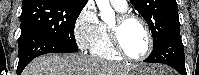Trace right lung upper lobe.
I'll use <instances>...</instances> for the list:
<instances>
[{
	"mask_svg": "<svg viewBox=\"0 0 199 75\" xmlns=\"http://www.w3.org/2000/svg\"><path fill=\"white\" fill-rule=\"evenodd\" d=\"M55 1L71 4V5H86L88 0H23V4H38L43 5Z\"/></svg>",
	"mask_w": 199,
	"mask_h": 75,
	"instance_id": "obj_1",
	"label": "right lung upper lobe"
}]
</instances>
